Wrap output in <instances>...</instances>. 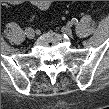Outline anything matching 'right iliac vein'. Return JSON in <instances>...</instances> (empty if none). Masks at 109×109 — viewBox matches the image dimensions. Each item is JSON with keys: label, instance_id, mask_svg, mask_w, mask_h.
I'll list each match as a JSON object with an SVG mask.
<instances>
[{"label": "right iliac vein", "instance_id": "63e3f726", "mask_svg": "<svg viewBox=\"0 0 109 109\" xmlns=\"http://www.w3.org/2000/svg\"><path fill=\"white\" fill-rule=\"evenodd\" d=\"M25 33H26L27 38L29 39H33L35 37V32L32 29L26 31Z\"/></svg>", "mask_w": 109, "mask_h": 109}]
</instances>
